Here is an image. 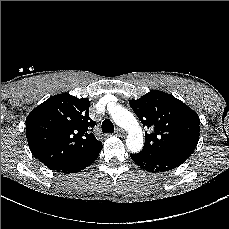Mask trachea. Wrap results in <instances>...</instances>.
<instances>
[{
	"label": "trachea",
	"instance_id": "3493384b",
	"mask_svg": "<svg viewBox=\"0 0 229 229\" xmlns=\"http://www.w3.org/2000/svg\"><path fill=\"white\" fill-rule=\"evenodd\" d=\"M102 132L103 133H113L114 132V125L111 120L105 119L102 122Z\"/></svg>",
	"mask_w": 229,
	"mask_h": 229
}]
</instances>
